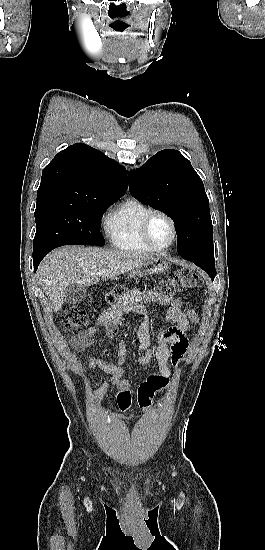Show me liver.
<instances>
[{
  "instance_id": "obj_1",
  "label": "liver",
  "mask_w": 265,
  "mask_h": 550,
  "mask_svg": "<svg viewBox=\"0 0 265 550\" xmlns=\"http://www.w3.org/2000/svg\"><path fill=\"white\" fill-rule=\"evenodd\" d=\"M149 257L98 247L65 246L45 257L39 266L38 277L51 308L58 312L64 303L68 285L91 286L98 283L100 277L108 279L132 272ZM99 272L103 274L99 275Z\"/></svg>"
}]
</instances>
